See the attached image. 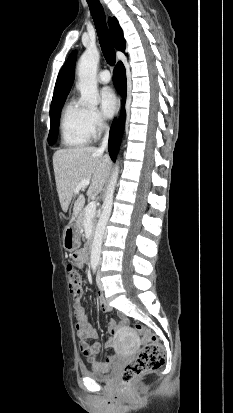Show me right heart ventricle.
I'll use <instances>...</instances> for the list:
<instances>
[{"label":"right heart ventricle","instance_id":"obj_1","mask_svg":"<svg viewBox=\"0 0 233 413\" xmlns=\"http://www.w3.org/2000/svg\"><path fill=\"white\" fill-rule=\"evenodd\" d=\"M60 134L67 148H80L90 143L94 134L88 123V108L75 99L69 100L61 114Z\"/></svg>","mask_w":233,"mask_h":413}]
</instances>
